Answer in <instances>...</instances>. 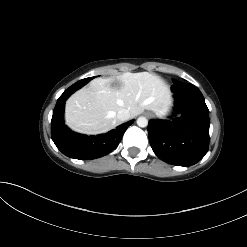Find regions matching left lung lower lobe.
Masks as SVG:
<instances>
[{
    "instance_id": "left-lung-lower-lobe-1",
    "label": "left lung lower lobe",
    "mask_w": 247,
    "mask_h": 247,
    "mask_svg": "<svg viewBox=\"0 0 247 247\" xmlns=\"http://www.w3.org/2000/svg\"><path fill=\"white\" fill-rule=\"evenodd\" d=\"M175 113L171 120L151 119L148 135L154 153L178 166L199 162L209 147V110L200 90L190 83L174 81Z\"/></svg>"
}]
</instances>
